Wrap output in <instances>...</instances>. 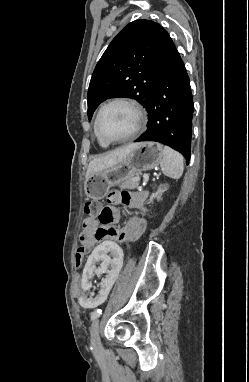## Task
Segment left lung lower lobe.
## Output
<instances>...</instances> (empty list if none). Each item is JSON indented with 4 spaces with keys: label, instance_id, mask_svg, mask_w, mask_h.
<instances>
[{
    "label": "left lung lower lobe",
    "instance_id": "left-lung-lower-lobe-1",
    "mask_svg": "<svg viewBox=\"0 0 249 382\" xmlns=\"http://www.w3.org/2000/svg\"><path fill=\"white\" fill-rule=\"evenodd\" d=\"M193 97L184 63L176 50L147 107L148 128L136 142L156 141L190 159Z\"/></svg>",
    "mask_w": 249,
    "mask_h": 382
}]
</instances>
